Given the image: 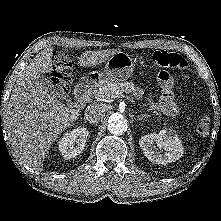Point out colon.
<instances>
[{"label":"colon","mask_w":221,"mask_h":221,"mask_svg":"<svg viewBox=\"0 0 221 221\" xmlns=\"http://www.w3.org/2000/svg\"><path fill=\"white\" fill-rule=\"evenodd\" d=\"M54 62V71L52 80L55 88L62 93L69 89V84L72 74V61L68 51L60 50L54 52L52 55ZM151 60L154 65L162 68H176L182 71L183 79H188L186 68L188 63L181 55L171 52L160 50L152 54ZM158 82L165 91H171L173 80L170 75L162 70L158 73ZM197 131L201 135H207L210 131V118L208 115L203 114L197 124Z\"/></svg>","instance_id":"colon-1"}]
</instances>
